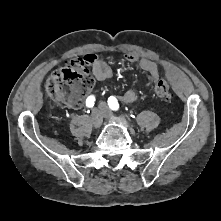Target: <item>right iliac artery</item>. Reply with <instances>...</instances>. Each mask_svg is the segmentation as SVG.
<instances>
[{
    "label": "right iliac artery",
    "instance_id": "obj_1",
    "mask_svg": "<svg viewBox=\"0 0 221 221\" xmlns=\"http://www.w3.org/2000/svg\"><path fill=\"white\" fill-rule=\"evenodd\" d=\"M95 104V97L93 95L89 96L87 99H86V106L88 108H92Z\"/></svg>",
    "mask_w": 221,
    "mask_h": 221
}]
</instances>
